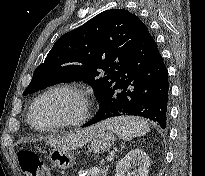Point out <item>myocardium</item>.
Segmentation results:
<instances>
[{
  "mask_svg": "<svg viewBox=\"0 0 205 176\" xmlns=\"http://www.w3.org/2000/svg\"><path fill=\"white\" fill-rule=\"evenodd\" d=\"M55 93H64V94L70 95L73 98H75L77 102L79 103V107H80L79 113L73 118L66 119V120L57 122L55 124L49 125V126H39L35 124L33 121V114H34L36 106L43 99ZM89 115H90V104L84 92L75 86L63 84V85H56V86L50 87L46 89L45 91H43L42 93H40L34 99L33 103L31 104L27 117H28V122L30 126L34 128L35 130L52 131V130L59 129V128L78 127L84 124L88 120Z\"/></svg>",
  "mask_w": 205,
  "mask_h": 176,
  "instance_id": "myocardium-1",
  "label": "myocardium"
}]
</instances>
